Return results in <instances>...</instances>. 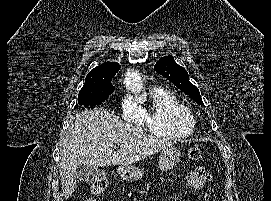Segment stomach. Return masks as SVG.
Returning <instances> with one entry per match:
<instances>
[{
	"label": "stomach",
	"mask_w": 271,
	"mask_h": 201,
	"mask_svg": "<svg viewBox=\"0 0 271 201\" xmlns=\"http://www.w3.org/2000/svg\"><path fill=\"white\" fill-rule=\"evenodd\" d=\"M180 157V150L176 147H167L163 149L158 157L159 168L162 171L173 168L180 161ZM118 173L121 178L126 181H138L144 175L143 170L132 165L120 166L118 168Z\"/></svg>",
	"instance_id": "obj_1"
}]
</instances>
